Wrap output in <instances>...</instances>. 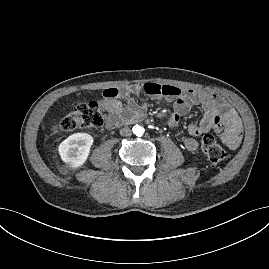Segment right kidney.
<instances>
[{
	"mask_svg": "<svg viewBox=\"0 0 269 269\" xmlns=\"http://www.w3.org/2000/svg\"><path fill=\"white\" fill-rule=\"evenodd\" d=\"M93 141L90 134H72L59 145V154L67 165L78 168L88 159Z\"/></svg>",
	"mask_w": 269,
	"mask_h": 269,
	"instance_id": "right-kidney-1",
	"label": "right kidney"
}]
</instances>
